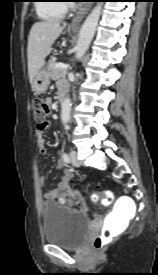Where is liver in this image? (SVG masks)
Here are the masks:
<instances>
[{"label": "liver", "instance_id": "liver-1", "mask_svg": "<svg viewBox=\"0 0 158 275\" xmlns=\"http://www.w3.org/2000/svg\"><path fill=\"white\" fill-rule=\"evenodd\" d=\"M66 23L54 20L39 21L33 24L28 37V74L32 83L34 76L42 69L45 57L59 37Z\"/></svg>", "mask_w": 158, "mask_h": 275}]
</instances>
